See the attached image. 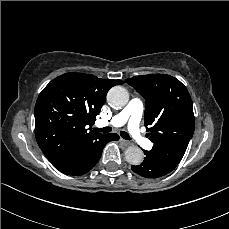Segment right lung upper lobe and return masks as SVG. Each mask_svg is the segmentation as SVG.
Wrapping results in <instances>:
<instances>
[{
  "label": "right lung upper lobe",
  "instance_id": "obj_1",
  "mask_svg": "<svg viewBox=\"0 0 229 229\" xmlns=\"http://www.w3.org/2000/svg\"><path fill=\"white\" fill-rule=\"evenodd\" d=\"M122 83L72 72L58 76L43 89L35 105V135L56 169L65 167L98 139L101 134L87 127L94 124L108 90Z\"/></svg>",
  "mask_w": 229,
  "mask_h": 229
}]
</instances>
